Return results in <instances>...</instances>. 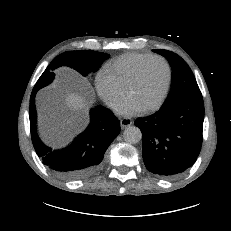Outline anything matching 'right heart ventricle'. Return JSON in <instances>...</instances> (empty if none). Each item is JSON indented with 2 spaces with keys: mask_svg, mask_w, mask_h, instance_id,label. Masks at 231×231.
<instances>
[{
  "mask_svg": "<svg viewBox=\"0 0 231 231\" xmlns=\"http://www.w3.org/2000/svg\"><path fill=\"white\" fill-rule=\"evenodd\" d=\"M150 56V54L145 53L123 54L108 62L103 69L109 73L123 89L126 90L127 85L134 75L137 67Z\"/></svg>",
  "mask_w": 231,
  "mask_h": 231,
  "instance_id": "e07e8e85",
  "label": "right heart ventricle"
}]
</instances>
